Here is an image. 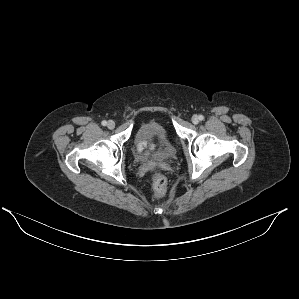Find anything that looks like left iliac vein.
Segmentation results:
<instances>
[{
	"label": "left iliac vein",
	"instance_id": "obj_1",
	"mask_svg": "<svg viewBox=\"0 0 299 299\" xmlns=\"http://www.w3.org/2000/svg\"><path fill=\"white\" fill-rule=\"evenodd\" d=\"M192 123H193V124H198V123H199V117H198L197 115H194V116L192 117Z\"/></svg>",
	"mask_w": 299,
	"mask_h": 299
}]
</instances>
